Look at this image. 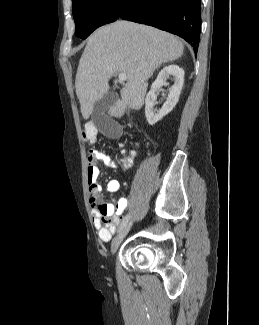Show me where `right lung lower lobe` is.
Returning <instances> with one entry per match:
<instances>
[{
  "label": "right lung lower lobe",
  "mask_w": 259,
  "mask_h": 325,
  "mask_svg": "<svg viewBox=\"0 0 259 325\" xmlns=\"http://www.w3.org/2000/svg\"><path fill=\"white\" fill-rule=\"evenodd\" d=\"M120 18L176 34L198 50L201 0H126Z\"/></svg>",
  "instance_id": "right-lung-lower-lobe-1"
}]
</instances>
